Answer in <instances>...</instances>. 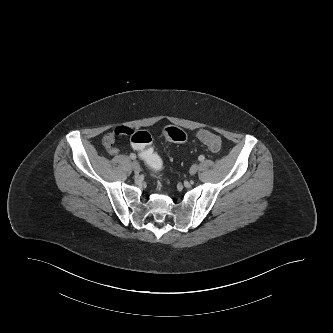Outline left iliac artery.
Here are the masks:
<instances>
[{
    "label": "left iliac artery",
    "mask_w": 333,
    "mask_h": 333,
    "mask_svg": "<svg viewBox=\"0 0 333 333\" xmlns=\"http://www.w3.org/2000/svg\"><path fill=\"white\" fill-rule=\"evenodd\" d=\"M198 159H199V161H203L205 159V157L203 155H200Z\"/></svg>",
    "instance_id": "44dca946"
}]
</instances>
